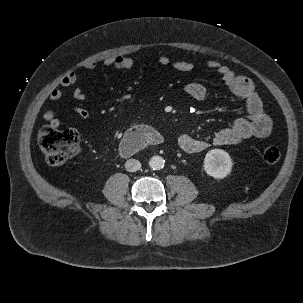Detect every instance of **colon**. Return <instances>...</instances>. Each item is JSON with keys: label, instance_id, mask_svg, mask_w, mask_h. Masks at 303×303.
I'll list each match as a JSON object with an SVG mask.
<instances>
[{"label": "colon", "instance_id": "5ec220e1", "mask_svg": "<svg viewBox=\"0 0 303 303\" xmlns=\"http://www.w3.org/2000/svg\"><path fill=\"white\" fill-rule=\"evenodd\" d=\"M37 141L46 162L51 166H60L77 152L79 134L74 129L62 130L45 125L38 132ZM280 157V150L274 145L267 146L262 154L268 164L278 162Z\"/></svg>", "mask_w": 303, "mask_h": 303}]
</instances>
